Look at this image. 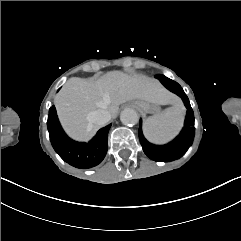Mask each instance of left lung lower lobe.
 <instances>
[{
    "instance_id": "obj_1",
    "label": "left lung lower lobe",
    "mask_w": 241,
    "mask_h": 241,
    "mask_svg": "<svg viewBox=\"0 0 241 241\" xmlns=\"http://www.w3.org/2000/svg\"><path fill=\"white\" fill-rule=\"evenodd\" d=\"M155 77L168 90L177 94L183 100L184 105L187 108L185 123L181 133L172 142L166 145H154L149 143L143 136L141 129L142 122L140 120L139 139L144 153L154 161L168 162L181 157L192 144L195 133L194 113L187 95L177 82L161 74H158Z\"/></svg>"
}]
</instances>
